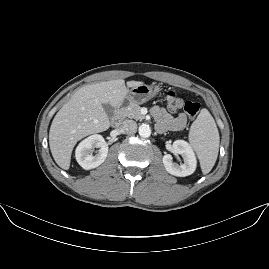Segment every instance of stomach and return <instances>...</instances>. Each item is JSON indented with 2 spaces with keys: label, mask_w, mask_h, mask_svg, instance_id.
I'll return each mask as SVG.
<instances>
[{
  "label": "stomach",
  "mask_w": 269,
  "mask_h": 269,
  "mask_svg": "<svg viewBox=\"0 0 269 269\" xmlns=\"http://www.w3.org/2000/svg\"><path fill=\"white\" fill-rule=\"evenodd\" d=\"M157 90L158 88H155L154 85L148 86L146 84H140L133 86L125 95V104H123V106H128L129 104H143L147 102Z\"/></svg>",
  "instance_id": "0dacf381"
}]
</instances>
